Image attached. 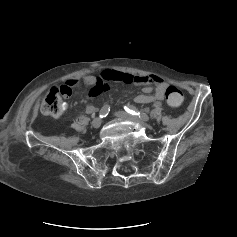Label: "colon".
<instances>
[{
  "label": "colon",
  "mask_w": 237,
  "mask_h": 237,
  "mask_svg": "<svg viewBox=\"0 0 237 237\" xmlns=\"http://www.w3.org/2000/svg\"><path fill=\"white\" fill-rule=\"evenodd\" d=\"M71 93L68 87L52 88L41 101L40 110L45 115L57 116L64 108L63 97L69 96ZM165 99L167 104L172 108H178L183 102L182 92L175 86L167 87L165 91Z\"/></svg>",
  "instance_id": "1"
}]
</instances>
